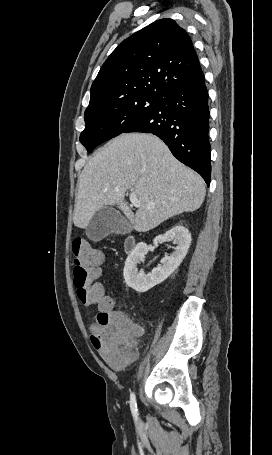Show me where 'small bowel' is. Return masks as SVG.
Masks as SVG:
<instances>
[{"instance_id":"c3829d8e","label":"small bowel","mask_w":272,"mask_h":455,"mask_svg":"<svg viewBox=\"0 0 272 455\" xmlns=\"http://www.w3.org/2000/svg\"><path fill=\"white\" fill-rule=\"evenodd\" d=\"M115 313H117V314H121V313H119V312H116V311H115ZM121 315H122V314H121Z\"/></svg>"}]
</instances>
